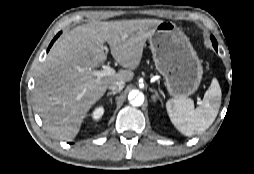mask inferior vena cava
Returning a JSON list of instances; mask_svg holds the SVG:
<instances>
[{
    "label": "inferior vena cava",
    "mask_w": 254,
    "mask_h": 174,
    "mask_svg": "<svg viewBox=\"0 0 254 174\" xmlns=\"http://www.w3.org/2000/svg\"><path fill=\"white\" fill-rule=\"evenodd\" d=\"M125 82L124 81H114L111 84H109L108 88L112 92H120L124 88Z\"/></svg>",
    "instance_id": "602c4592"
}]
</instances>
